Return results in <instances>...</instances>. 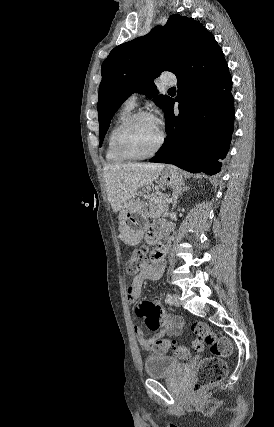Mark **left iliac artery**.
Returning <instances> with one entry per match:
<instances>
[{"mask_svg": "<svg viewBox=\"0 0 274 427\" xmlns=\"http://www.w3.org/2000/svg\"><path fill=\"white\" fill-rule=\"evenodd\" d=\"M166 301L171 305L172 304V296L170 293L166 295Z\"/></svg>", "mask_w": 274, "mask_h": 427, "instance_id": "1", "label": "left iliac artery"}]
</instances>
